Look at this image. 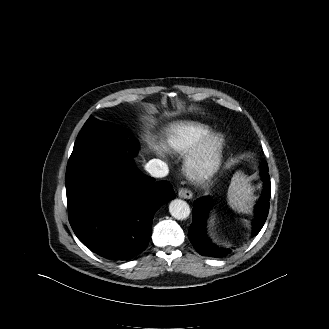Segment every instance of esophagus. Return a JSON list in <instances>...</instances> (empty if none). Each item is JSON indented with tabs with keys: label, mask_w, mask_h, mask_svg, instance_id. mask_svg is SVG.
Segmentation results:
<instances>
[{
	"label": "esophagus",
	"mask_w": 329,
	"mask_h": 329,
	"mask_svg": "<svg viewBox=\"0 0 329 329\" xmlns=\"http://www.w3.org/2000/svg\"><path fill=\"white\" fill-rule=\"evenodd\" d=\"M178 196L180 198H184V199H191L193 196V193L188 189L180 188L178 191Z\"/></svg>",
	"instance_id": "1"
}]
</instances>
